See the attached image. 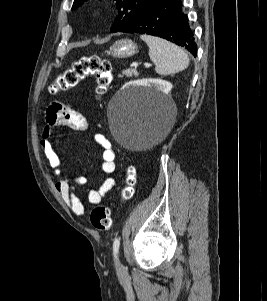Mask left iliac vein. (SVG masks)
<instances>
[{
  "instance_id": "1",
  "label": "left iliac vein",
  "mask_w": 267,
  "mask_h": 301,
  "mask_svg": "<svg viewBox=\"0 0 267 301\" xmlns=\"http://www.w3.org/2000/svg\"><path fill=\"white\" fill-rule=\"evenodd\" d=\"M118 266H119V270H120V271H123V270H124V266H123L120 262L118 263Z\"/></svg>"
}]
</instances>
